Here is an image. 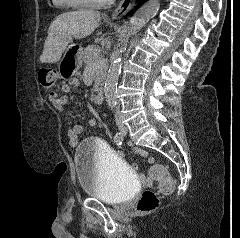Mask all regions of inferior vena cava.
<instances>
[{
	"label": "inferior vena cava",
	"mask_w": 240,
	"mask_h": 238,
	"mask_svg": "<svg viewBox=\"0 0 240 238\" xmlns=\"http://www.w3.org/2000/svg\"><path fill=\"white\" fill-rule=\"evenodd\" d=\"M115 118H116V121H121L119 106H116L115 108Z\"/></svg>",
	"instance_id": "1"
}]
</instances>
